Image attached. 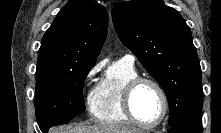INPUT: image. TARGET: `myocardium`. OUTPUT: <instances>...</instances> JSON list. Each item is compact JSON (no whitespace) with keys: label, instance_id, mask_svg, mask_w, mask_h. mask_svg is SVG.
<instances>
[{"label":"myocardium","instance_id":"1","mask_svg":"<svg viewBox=\"0 0 221 133\" xmlns=\"http://www.w3.org/2000/svg\"><path fill=\"white\" fill-rule=\"evenodd\" d=\"M145 83L150 84L153 87H155L162 101L161 115L155 122H152V123H146V122L141 121L136 116L133 110L132 101H133L134 93L140 85L145 84ZM123 109H124L126 116L131 120V122L143 128H154L160 125L167 116L168 109H169L168 97L162 85L155 79H152L149 77H137V78L132 79L130 82H128V84L124 88Z\"/></svg>","mask_w":221,"mask_h":133}]
</instances>
